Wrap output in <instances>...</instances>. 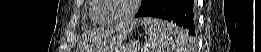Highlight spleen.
<instances>
[{"label":"spleen","instance_id":"3e777b00","mask_svg":"<svg viewBox=\"0 0 261 52\" xmlns=\"http://www.w3.org/2000/svg\"><path fill=\"white\" fill-rule=\"evenodd\" d=\"M144 52H193L191 37L176 25L160 19L144 18Z\"/></svg>","mask_w":261,"mask_h":52}]
</instances>
